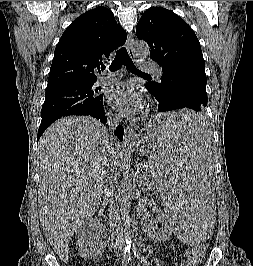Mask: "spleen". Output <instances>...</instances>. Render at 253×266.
I'll return each instance as SVG.
<instances>
[{
	"instance_id": "obj_1",
	"label": "spleen",
	"mask_w": 253,
	"mask_h": 266,
	"mask_svg": "<svg viewBox=\"0 0 253 266\" xmlns=\"http://www.w3.org/2000/svg\"><path fill=\"white\" fill-rule=\"evenodd\" d=\"M199 111H165L152 117L155 145L142 165L151 199L163 204L180 248H207L217 235L210 185L212 141Z\"/></svg>"
}]
</instances>
